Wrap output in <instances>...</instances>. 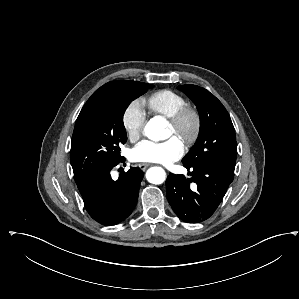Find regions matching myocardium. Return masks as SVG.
Returning a JSON list of instances; mask_svg holds the SVG:
<instances>
[{"label": "myocardium", "instance_id": "obj_1", "mask_svg": "<svg viewBox=\"0 0 299 299\" xmlns=\"http://www.w3.org/2000/svg\"><path fill=\"white\" fill-rule=\"evenodd\" d=\"M170 125L179 139L186 146H190L199 136L201 127L200 113L194 106L186 104L170 118Z\"/></svg>", "mask_w": 299, "mask_h": 299}]
</instances>
